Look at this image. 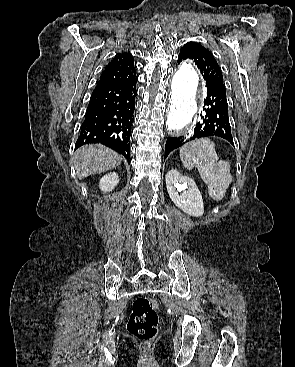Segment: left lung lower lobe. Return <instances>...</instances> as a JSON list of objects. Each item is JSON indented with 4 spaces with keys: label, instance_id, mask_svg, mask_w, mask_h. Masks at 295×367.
I'll return each mask as SVG.
<instances>
[{
    "label": "left lung lower lobe",
    "instance_id": "0a47b994",
    "mask_svg": "<svg viewBox=\"0 0 295 367\" xmlns=\"http://www.w3.org/2000/svg\"><path fill=\"white\" fill-rule=\"evenodd\" d=\"M181 61H178L180 63ZM207 97L204 99L205 108L201 120L196 124L190 139L216 136L229 141L232 145L233 138L228 117V103L225 85L217 80H206ZM184 136L169 137L165 145L164 159L174 149L184 144Z\"/></svg>",
    "mask_w": 295,
    "mask_h": 367
}]
</instances>
